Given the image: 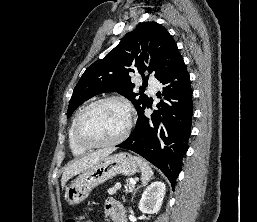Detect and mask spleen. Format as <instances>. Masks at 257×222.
<instances>
[{
    "label": "spleen",
    "mask_w": 257,
    "mask_h": 222,
    "mask_svg": "<svg viewBox=\"0 0 257 222\" xmlns=\"http://www.w3.org/2000/svg\"><path fill=\"white\" fill-rule=\"evenodd\" d=\"M141 170V180L143 185L147 184L150 178L153 176V170L149 164L140 157H135Z\"/></svg>",
    "instance_id": "spleen-1"
}]
</instances>
